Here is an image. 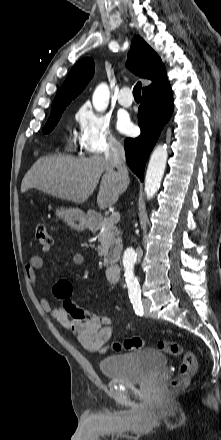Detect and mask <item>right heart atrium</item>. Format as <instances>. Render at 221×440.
<instances>
[{
  "instance_id": "obj_1",
  "label": "right heart atrium",
  "mask_w": 221,
  "mask_h": 440,
  "mask_svg": "<svg viewBox=\"0 0 221 440\" xmlns=\"http://www.w3.org/2000/svg\"><path fill=\"white\" fill-rule=\"evenodd\" d=\"M77 122V143L83 153L99 155L119 147L109 119L91 107L83 105L75 116Z\"/></svg>"
}]
</instances>
